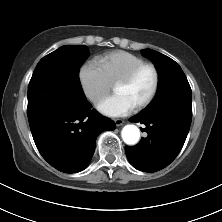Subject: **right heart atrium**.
<instances>
[{"instance_id":"d8ad5b80","label":"right heart atrium","mask_w":222,"mask_h":222,"mask_svg":"<svg viewBox=\"0 0 222 222\" xmlns=\"http://www.w3.org/2000/svg\"><path fill=\"white\" fill-rule=\"evenodd\" d=\"M79 79L85 97L92 103L98 102L112 88V83L101 65L94 60L81 66Z\"/></svg>"}]
</instances>
